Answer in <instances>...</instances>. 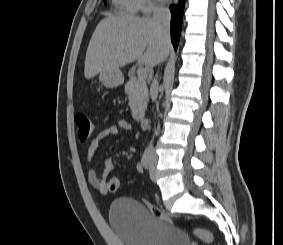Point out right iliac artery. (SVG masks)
<instances>
[{
    "label": "right iliac artery",
    "mask_w": 283,
    "mask_h": 245,
    "mask_svg": "<svg viewBox=\"0 0 283 245\" xmlns=\"http://www.w3.org/2000/svg\"><path fill=\"white\" fill-rule=\"evenodd\" d=\"M141 163L145 169H148L150 167V151L149 150L144 151L142 155Z\"/></svg>",
    "instance_id": "82829eb1"
}]
</instances>
